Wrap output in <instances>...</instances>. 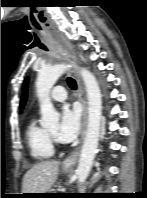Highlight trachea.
<instances>
[{"label": "trachea", "instance_id": "obj_1", "mask_svg": "<svg viewBox=\"0 0 147 198\" xmlns=\"http://www.w3.org/2000/svg\"><path fill=\"white\" fill-rule=\"evenodd\" d=\"M45 49V48H44ZM67 83L69 85V87L72 89V90H75L77 88V85H76V82L74 79H72L71 77H68L67 78Z\"/></svg>", "mask_w": 147, "mask_h": 198}]
</instances>
